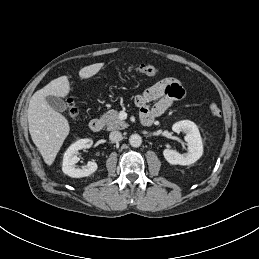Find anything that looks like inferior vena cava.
I'll list each match as a JSON object with an SVG mask.
<instances>
[{
    "label": "inferior vena cava",
    "instance_id": "obj_1",
    "mask_svg": "<svg viewBox=\"0 0 259 259\" xmlns=\"http://www.w3.org/2000/svg\"><path fill=\"white\" fill-rule=\"evenodd\" d=\"M109 138H110L111 141L117 142V141H120V140H121L122 134H121V132H119V131H112V132L110 133V135H109Z\"/></svg>",
    "mask_w": 259,
    "mask_h": 259
}]
</instances>
